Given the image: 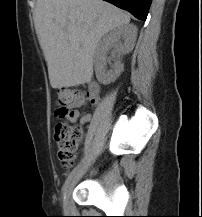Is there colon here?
Here are the masks:
<instances>
[{
    "mask_svg": "<svg viewBox=\"0 0 202 217\" xmlns=\"http://www.w3.org/2000/svg\"><path fill=\"white\" fill-rule=\"evenodd\" d=\"M86 95L75 89L60 88L57 91L56 116L59 121L55 125L54 136L57 142V154L64 167L73 165L77 148L83 139L84 131L72 124L70 115L72 108L84 103Z\"/></svg>",
    "mask_w": 202,
    "mask_h": 217,
    "instance_id": "obj_1",
    "label": "colon"
}]
</instances>
